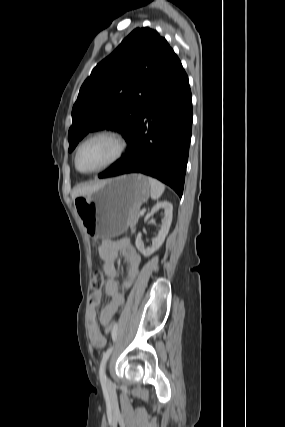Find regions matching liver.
<instances>
[{
  "label": "liver",
  "instance_id": "6515ba94",
  "mask_svg": "<svg viewBox=\"0 0 285 427\" xmlns=\"http://www.w3.org/2000/svg\"><path fill=\"white\" fill-rule=\"evenodd\" d=\"M106 181H97L90 184H81L76 186L72 191V198L75 199L78 196H86L92 194L99 189Z\"/></svg>",
  "mask_w": 285,
  "mask_h": 427
}]
</instances>
